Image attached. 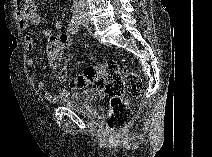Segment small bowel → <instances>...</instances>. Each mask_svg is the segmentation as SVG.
<instances>
[{
	"label": "small bowel",
	"mask_w": 212,
	"mask_h": 157,
	"mask_svg": "<svg viewBox=\"0 0 212 157\" xmlns=\"http://www.w3.org/2000/svg\"><path fill=\"white\" fill-rule=\"evenodd\" d=\"M16 18L19 29L22 31H26L30 26H37L41 22V16L38 13L34 2L32 1H23L18 2L16 7ZM63 28V22L61 20H57L55 22V29L61 30ZM52 34V30L46 28L43 30V35L45 37H49ZM25 44L28 52H31L34 49V38L26 34L25 35ZM34 64V60L32 58L27 59V65L31 66ZM35 87L38 90H45L46 84L43 80H40L35 83ZM68 92L64 89L60 90L57 94H53L50 91H45L44 98L49 103H60L67 99Z\"/></svg>",
	"instance_id": "1"
}]
</instances>
